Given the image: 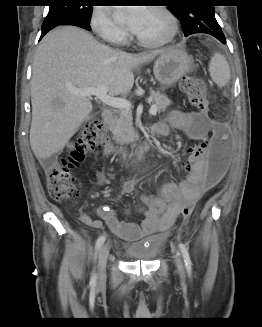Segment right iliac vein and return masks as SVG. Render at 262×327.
<instances>
[{
  "label": "right iliac vein",
  "instance_id": "1",
  "mask_svg": "<svg viewBox=\"0 0 262 327\" xmlns=\"http://www.w3.org/2000/svg\"><path fill=\"white\" fill-rule=\"evenodd\" d=\"M109 255V246L104 244L100 247L99 250V263H98V275H97V284L101 286L105 283L106 280V263Z\"/></svg>",
  "mask_w": 262,
  "mask_h": 327
}]
</instances>
